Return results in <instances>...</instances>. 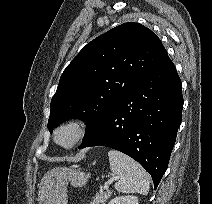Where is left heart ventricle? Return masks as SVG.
<instances>
[{"label":"left heart ventricle","mask_w":212,"mask_h":204,"mask_svg":"<svg viewBox=\"0 0 212 204\" xmlns=\"http://www.w3.org/2000/svg\"><path fill=\"white\" fill-rule=\"evenodd\" d=\"M71 137H72L71 132H69V131H64V132H62V133L59 135V140H60L61 142L66 143V142H68V141L71 139Z\"/></svg>","instance_id":"obj_1"}]
</instances>
